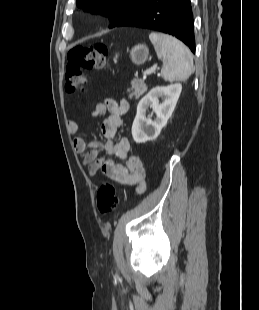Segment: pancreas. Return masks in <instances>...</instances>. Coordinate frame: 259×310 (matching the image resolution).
<instances>
[{
	"label": "pancreas",
	"instance_id": "1",
	"mask_svg": "<svg viewBox=\"0 0 259 310\" xmlns=\"http://www.w3.org/2000/svg\"><path fill=\"white\" fill-rule=\"evenodd\" d=\"M147 91L145 82L141 79H133L131 81V88L128 89L130 99H139Z\"/></svg>",
	"mask_w": 259,
	"mask_h": 310
}]
</instances>
